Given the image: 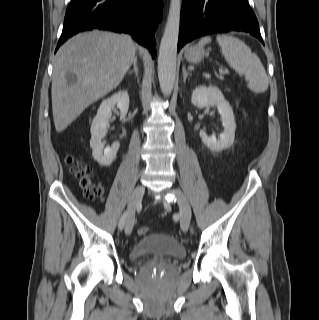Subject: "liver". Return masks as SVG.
Masks as SVG:
<instances>
[{
  "mask_svg": "<svg viewBox=\"0 0 319 320\" xmlns=\"http://www.w3.org/2000/svg\"><path fill=\"white\" fill-rule=\"evenodd\" d=\"M136 45L127 34L93 30L79 33L58 50L53 63L52 111L55 129L64 131L89 105L122 81ZM67 73L76 76L69 85Z\"/></svg>",
  "mask_w": 319,
  "mask_h": 320,
  "instance_id": "6515ba94",
  "label": "liver"
}]
</instances>
